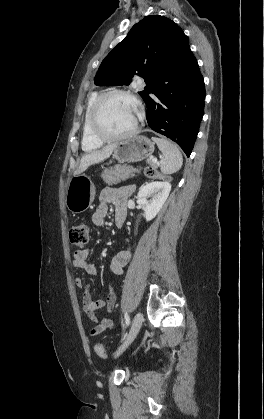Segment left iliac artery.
Instances as JSON below:
<instances>
[{
    "mask_svg": "<svg viewBox=\"0 0 264 419\" xmlns=\"http://www.w3.org/2000/svg\"><path fill=\"white\" fill-rule=\"evenodd\" d=\"M124 317H125V323L128 326L129 323H130L129 315L127 313H125V316Z\"/></svg>",
    "mask_w": 264,
    "mask_h": 419,
    "instance_id": "left-iliac-artery-1",
    "label": "left iliac artery"
}]
</instances>
